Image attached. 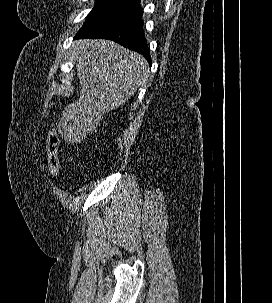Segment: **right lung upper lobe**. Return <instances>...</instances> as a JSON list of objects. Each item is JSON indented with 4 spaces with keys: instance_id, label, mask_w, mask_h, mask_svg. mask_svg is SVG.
I'll return each mask as SVG.
<instances>
[{
    "instance_id": "cb5924a9",
    "label": "right lung upper lobe",
    "mask_w": 272,
    "mask_h": 303,
    "mask_svg": "<svg viewBox=\"0 0 272 303\" xmlns=\"http://www.w3.org/2000/svg\"><path fill=\"white\" fill-rule=\"evenodd\" d=\"M111 1L126 2V3H129V4L137 5L141 9V7L139 5L140 0H111Z\"/></svg>"
}]
</instances>
